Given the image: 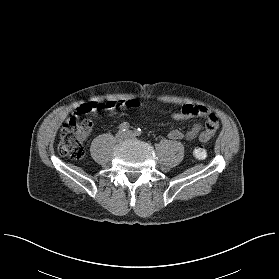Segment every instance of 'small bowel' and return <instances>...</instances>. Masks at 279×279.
<instances>
[{
	"label": "small bowel",
	"instance_id": "1",
	"mask_svg": "<svg viewBox=\"0 0 279 279\" xmlns=\"http://www.w3.org/2000/svg\"><path fill=\"white\" fill-rule=\"evenodd\" d=\"M162 102L167 103L166 100H162ZM125 104L126 102L123 100L113 99L94 101L76 108L73 111V115L80 116L85 112L95 109L111 110L116 107L124 106ZM195 116L205 119V127L203 130H201V125L199 123H195L186 133L177 129L169 131L168 137L171 140H193L198 138L202 142L208 141L219 126L218 117L211 110L204 106L185 105L180 111L172 113L173 119L177 121L186 120ZM204 137L205 141H203Z\"/></svg>",
	"mask_w": 279,
	"mask_h": 279
}]
</instances>
